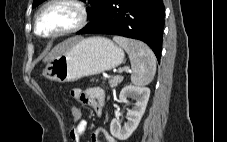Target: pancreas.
Returning <instances> with one entry per match:
<instances>
[{"label": "pancreas", "instance_id": "1", "mask_svg": "<svg viewBox=\"0 0 227 142\" xmlns=\"http://www.w3.org/2000/svg\"><path fill=\"white\" fill-rule=\"evenodd\" d=\"M92 81H94V79H92ZM122 81H123V77L118 75V76H115V77L109 79V84L111 87H116Z\"/></svg>", "mask_w": 227, "mask_h": 142}]
</instances>
